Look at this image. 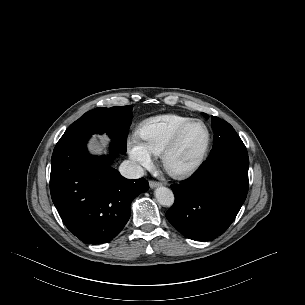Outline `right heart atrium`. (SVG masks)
<instances>
[{
    "mask_svg": "<svg viewBox=\"0 0 305 305\" xmlns=\"http://www.w3.org/2000/svg\"><path fill=\"white\" fill-rule=\"evenodd\" d=\"M128 152L131 160L138 166L150 167L153 157L147 148L137 138H132L128 144Z\"/></svg>",
    "mask_w": 305,
    "mask_h": 305,
    "instance_id": "d8ad5b80",
    "label": "right heart atrium"
}]
</instances>
